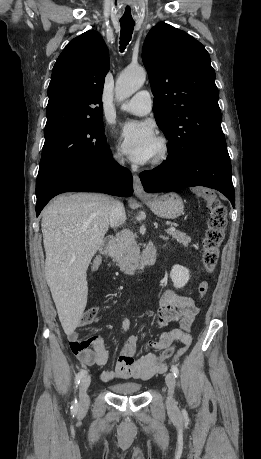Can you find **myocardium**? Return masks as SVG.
I'll use <instances>...</instances> for the list:
<instances>
[{
    "mask_svg": "<svg viewBox=\"0 0 261 459\" xmlns=\"http://www.w3.org/2000/svg\"><path fill=\"white\" fill-rule=\"evenodd\" d=\"M158 143V153L150 160L149 164L151 166H158L164 163L169 157L170 148L169 143L166 138L159 137L157 138Z\"/></svg>",
    "mask_w": 261,
    "mask_h": 459,
    "instance_id": "1",
    "label": "myocardium"
}]
</instances>
